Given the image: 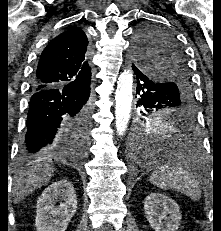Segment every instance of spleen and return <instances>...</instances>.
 Instances as JSON below:
<instances>
[{
    "instance_id": "obj_1",
    "label": "spleen",
    "mask_w": 221,
    "mask_h": 231,
    "mask_svg": "<svg viewBox=\"0 0 221 231\" xmlns=\"http://www.w3.org/2000/svg\"><path fill=\"white\" fill-rule=\"evenodd\" d=\"M150 182L161 189L185 194L193 200H198L201 196L199 181L195 176L172 161H166L155 170L150 177Z\"/></svg>"
}]
</instances>
